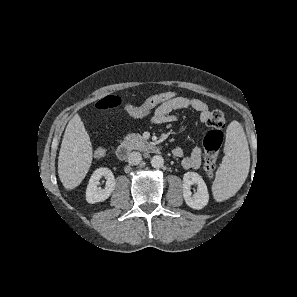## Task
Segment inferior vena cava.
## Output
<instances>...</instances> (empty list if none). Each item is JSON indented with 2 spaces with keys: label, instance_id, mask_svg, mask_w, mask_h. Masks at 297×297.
I'll return each mask as SVG.
<instances>
[{
  "label": "inferior vena cava",
  "instance_id": "602c4592",
  "mask_svg": "<svg viewBox=\"0 0 297 297\" xmlns=\"http://www.w3.org/2000/svg\"><path fill=\"white\" fill-rule=\"evenodd\" d=\"M142 156L139 152H132L128 155V163L130 165H137L141 162Z\"/></svg>",
  "mask_w": 297,
  "mask_h": 297
}]
</instances>
